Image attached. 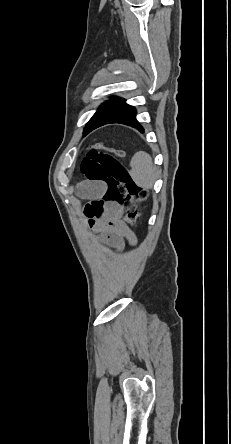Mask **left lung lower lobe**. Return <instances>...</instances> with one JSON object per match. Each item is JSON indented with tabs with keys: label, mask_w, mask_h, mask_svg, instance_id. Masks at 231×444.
<instances>
[{
	"label": "left lung lower lobe",
	"mask_w": 231,
	"mask_h": 444,
	"mask_svg": "<svg viewBox=\"0 0 231 444\" xmlns=\"http://www.w3.org/2000/svg\"><path fill=\"white\" fill-rule=\"evenodd\" d=\"M135 108L125 104V106L120 110V112L118 114H116L113 117L104 119L100 122L95 123L94 125H92L86 134H88L90 131L94 130L97 127H100L102 125L108 124V123H122V124H126L128 126H132L137 128L138 130L143 131L142 126L139 125V123L137 122L136 118H135Z\"/></svg>",
	"instance_id": "left-lung-lower-lobe-1"
}]
</instances>
